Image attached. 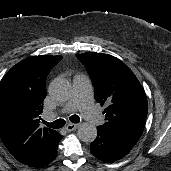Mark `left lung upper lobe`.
Wrapping results in <instances>:
<instances>
[{
    "label": "left lung upper lobe",
    "mask_w": 171,
    "mask_h": 171,
    "mask_svg": "<svg viewBox=\"0 0 171 171\" xmlns=\"http://www.w3.org/2000/svg\"><path fill=\"white\" fill-rule=\"evenodd\" d=\"M85 65L94 86V95L104 110L103 130L136 144L147 117V99L133 72L118 58L102 53L76 54Z\"/></svg>",
    "instance_id": "1"
}]
</instances>
